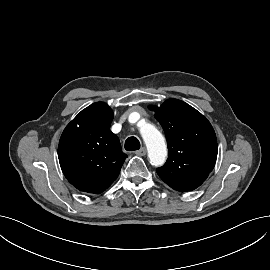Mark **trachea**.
<instances>
[{"mask_svg":"<svg viewBox=\"0 0 270 270\" xmlns=\"http://www.w3.org/2000/svg\"><path fill=\"white\" fill-rule=\"evenodd\" d=\"M125 149L127 151H135L140 149V142L136 137H129L125 141Z\"/></svg>","mask_w":270,"mask_h":270,"instance_id":"trachea-1","label":"trachea"}]
</instances>
